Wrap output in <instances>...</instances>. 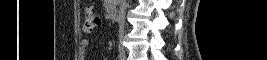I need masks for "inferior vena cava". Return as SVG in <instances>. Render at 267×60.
Wrapping results in <instances>:
<instances>
[{"label": "inferior vena cava", "instance_id": "inferior-vena-cava-1", "mask_svg": "<svg viewBox=\"0 0 267 60\" xmlns=\"http://www.w3.org/2000/svg\"><path fill=\"white\" fill-rule=\"evenodd\" d=\"M125 2L126 0H121V7H120V17H119V31H124L125 25Z\"/></svg>", "mask_w": 267, "mask_h": 60}]
</instances>
